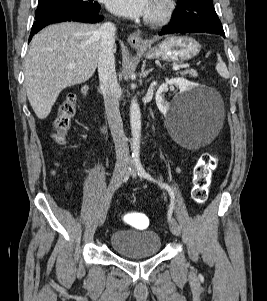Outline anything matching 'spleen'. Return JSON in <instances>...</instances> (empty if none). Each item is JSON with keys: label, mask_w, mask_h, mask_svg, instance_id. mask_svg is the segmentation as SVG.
Here are the masks:
<instances>
[{"label": "spleen", "mask_w": 267, "mask_h": 301, "mask_svg": "<svg viewBox=\"0 0 267 301\" xmlns=\"http://www.w3.org/2000/svg\"><path fill=\"white\" fill-rule=\"evenodd\" d=\"M217 56H218V63H217V65H216V70H217L218 74H219L221 77H223V78H225V79H228L229 76H230V74H229V71H228V69H227V66H226V64L222 61L220 55L218 54Z\"/></svg>", "instance_id": "obj_1"}]
</instances>
